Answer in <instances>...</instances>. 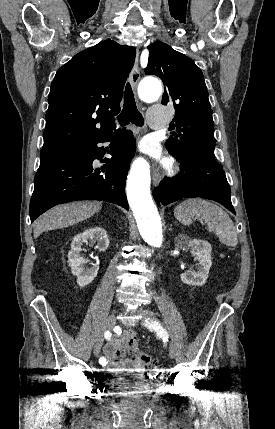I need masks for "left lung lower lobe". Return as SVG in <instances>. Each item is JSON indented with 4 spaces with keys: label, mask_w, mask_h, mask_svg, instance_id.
<instances>
[{
    "label": "left lung lower lobe",
    "mask_w": 275,
    "mask_h": 429,
    "mask_svg": "<svg viewBox=\"0 0 275 429\" xmlns=\"http://www.w3.org/2000/svg\"><path fill=\"white\" fill-rule=\"evenodd\" d=\"M177 160L185 172L172 179H163L155 188L153 196L158 205H168L182 198L202 197L217 201L236 214L225 172L215 159L198 155Z\"/></svg>",
    "instance_id": "left-lung-lower-lobe-1"
}]
</instances>
